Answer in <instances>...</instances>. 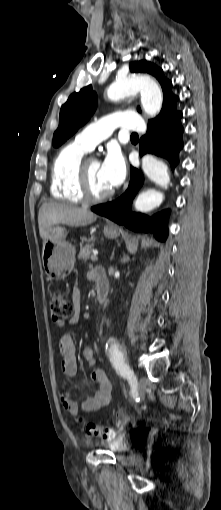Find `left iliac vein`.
<instances>
[{"label":"left iliac vein","mask_w":221,"mask_h":510,"mask_svg":"<svg viewBox=\"0 0 221 510\" xmlns=\"http://www.w3.org/2000/svg\"><path fill=\"white\" fill-rule=\"evenodd\" d=\"M147 387V381L144 377H140L138 381V394L140 399H144Z\"/></svg>","instance_id":"1"}]
</instances>
